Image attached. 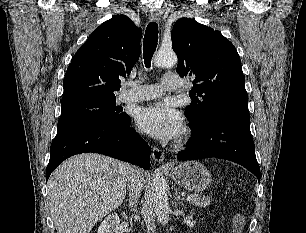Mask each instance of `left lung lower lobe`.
Returning <instances> with one entry per match:
<instances>
[{
  "mask_svg": "<svg viewBox=\"0 0 306 233\" xmlns=\"http://www.w3.org/2000/svg\"><path fill=\"white\" fill-rule=\"evenodd\" d=\"M187 148L177 155L179 160L216 157L245 167L260 180L250 118L218 117L192 128Z\"/></svg>",
  "mask_w": 306,
  "mask_h": 233,
  "instance_id": "left-lung-lower-lobe-1",
  "label": "left lung lower lobe"
}]
</instances>
